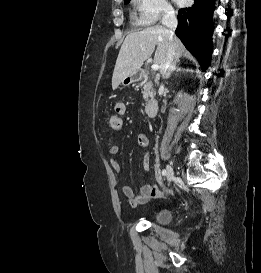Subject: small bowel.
Listing matches in <instances>:
<instances>
[{"instance_id":"obj_1","label":"small bowel","mask_w":261,"mask_h":273,"mask_svg":"<svg viewBox=\"0 0 261 273\" xmlns=\"http://www.w3.org/2000/svg\"><path fill=\"white\" fill-rule=\"evenodd\" d=\"M125 113H126L125 103L118 102L115 105V114L122 116ZM121 130H122V127L118 131H121ZM137 141H138L139 146L142 149H145L149 144L148 137L143 133L138 135ZM109 152L111 155H117L119 152V146L117 144H113L110 147ZM110 165H111L112 170L115 173H117V174L121 173L122 168H121L120 163L117 160L111 159ZM148 167H149V156H148V154H145L143 157V168L145 171H147ZM121 190H122L123 195L128 200L130 206L133 208L137 207L138 205L145 204L148 201H150L151 199H159L162 196V192L158 188L153 186L152 184L143 185L140 190V193L138 195H135L133 188L130 187L129 185H123Z\"/></svg>"}]
</instances>
